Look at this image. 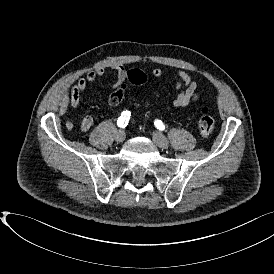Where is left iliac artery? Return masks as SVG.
<instances>
[{
    "label": "left iliac artery",
    "mask_w": 274,
    "mask_h": 274,
    "mask_svg": "<svg viewBox=\"0 0 274 274\" xmlns=\"http://www.w3.org/2000/svg\"><path fill=\"white\" fill-rule=\"evenodd\" d=\"M154 124L157 127V129H159V130L165 129V125L163 124V122L161 120H155Z\"/></svg>",
    "instance_id": "44dca946"
}]
</instances>
